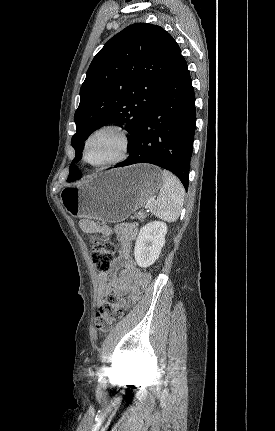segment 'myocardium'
<instances>
[{"label": "myocardium", "mask_w": 275, "mask_h": 431, "mask_svg": "<svg viewBox=\"0 0 275 431\" xmlns=\"http://www.w3.org/2000/svg\"><path fill=\"white\" fill-rule=\"evenodd\" d=\"M104 132H112L119 139V150L117 154L109 160L92 163L89 161L87 151L91 141L99 134ZM130 149V139L127 130L118 123H106L95 128L85 139L82 150L83 161L94 168H106L123 162L127 157Z\"/></svg>", "instance_id": "1"}]
</instances>
